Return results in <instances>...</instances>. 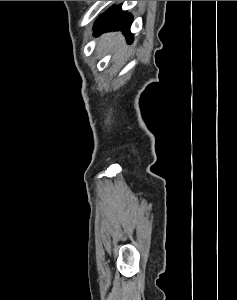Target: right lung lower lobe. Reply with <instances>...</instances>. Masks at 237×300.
<instances>
[{
    "instance_id": "1",
    "label": "right lung lower lobe",
    "mask_w": 237,
    "mask_h": 300,
    "mask_svg": "<svg viewBox=\"0 0 237 300\" xmlns=\"http://www.w3.org/2000/svg\"><path fill=\"white\" fill-rule=\"evenodd\" d=\"M132 23V16L126 11L121 10V6H116L109 9L106 14L99 19L94 26V35H99L107 31H123L130 42L133 35L130 33L129 29Z\"/></svg>"
}]
</instances>
